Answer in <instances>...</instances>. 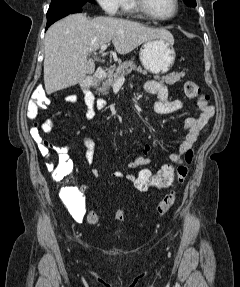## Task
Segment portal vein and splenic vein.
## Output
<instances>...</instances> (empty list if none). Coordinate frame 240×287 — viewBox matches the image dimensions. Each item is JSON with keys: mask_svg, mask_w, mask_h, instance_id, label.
Returning <instances> with one entry per match:
<instances>
[{"mask_svg": "<svg viewBox=\"0 0 240 287\" xmlns=\"http://www.w3.org/2000/svg\"><path fill=\"white\" fill-rule=\"evenodd\" d=\"M108 45L107 44H103L100 47V53H103L106 49H107Z\"/></svg>", "mask_w": 240, "mask_h": 287, "instance_id": "portal-vein-and-splenic-vein-1", "label": "portal vein and splenic vein"}]
</instances>
